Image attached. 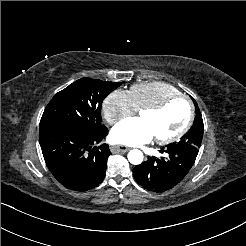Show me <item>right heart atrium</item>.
Returning a JSON list of instances; mask_svg holds the SVG:
<instances>
[{"label": "right heart atrium", "mask_w": 246, "mask_h": 246, "mask_svg": "<svg viewBox=\"0 0 246 246\" xmlns=\"http://www.w3.org/2000/svg\"><path fill=\"white\" fill-rule=\"evenodd\" d=\"M102 110L109 124H115L126 117L132 116L136 111L130 92L123 89L113 90L105 98Z\"/></svg>", "instance_id": "1"}]
</instances>
